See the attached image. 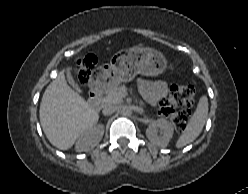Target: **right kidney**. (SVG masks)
<instances>
[{
	"label": "right kidney",
	"instance_id": "right-kidney-1",
	"mask_svg": "<svg viewBox=\"0 0 248 194\" xmlns=\"http://www.w3.org/2000/svg\"><path fill=\"white\" fill-rule=\"evenodd\" d=\"M104 126L99 124L82 133L76 142L75 150L77 152L88 151L94 148L102 139Z\"/></svg>",
	"mask_w": 248,
	"mask_h": 194
}]
</instances>
